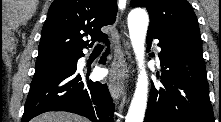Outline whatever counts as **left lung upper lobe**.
Segmentation results:
<instances>
[{"label":"left lung upper lobe","mask_w":221,"mask_h":122,"mask_svg":"<svg viewBox=\"0 0 221 122\" xmlns=\"http://www.w3.org/2000/svg\"><path fill=\"white\" fill-rule=\"evenodd\" d=\"M131 6L147 8L150 29L167 38L202 47L198 22L187 0H131Z\"/></svg>","instance_id":"1"}]
</instances>
